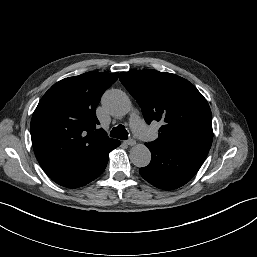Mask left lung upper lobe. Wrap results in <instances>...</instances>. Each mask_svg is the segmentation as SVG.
Masks as SVG:
<instances>
[{
    "label": "left lung upper lobe",
    "mask_w": 257,
    "mask_h": 257,
    "mask_svg": "<svg viewBox=\"0 0 257 257\" xmlns=\"http://www.w3.org/2000/svg\"><path fill=\"white\" fill-rule=\"evenodd\" d=\"M120 81L137 100L148 124L153 120L163 123L159 137L151 144L163 148H211V110L189 81L156 70L121 72Z\"/></svg>",
    "instance_id": "5c2ea615"
}]
</instances>
